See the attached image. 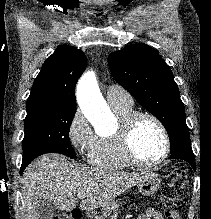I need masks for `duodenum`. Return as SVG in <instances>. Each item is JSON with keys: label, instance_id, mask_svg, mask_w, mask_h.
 I'll return each instance as SVG.
<instances>
[{"label": "duodenum", "instance_id": "1", "mask_svg": "<svg viewBox=\"0 0 211 219\" xmlns=\"http://www.w3.org/2000/svg\"><path fill=\"white\" fill-rule=\"evenodd\" d=\"M99 213V211L98 210H94V209H90V210H88V216L90 217V218H93L96 214H98Z\"/></svg>", "mask_w": 211, "mask_h": 219}]
</instances>
